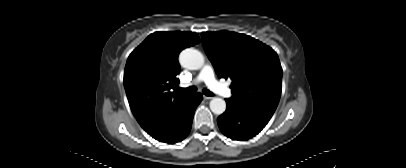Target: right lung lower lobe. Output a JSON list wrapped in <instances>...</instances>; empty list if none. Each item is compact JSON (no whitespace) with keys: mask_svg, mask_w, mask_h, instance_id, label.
I'll return each mask as SVG.
<instances>
[{"mask_svg":"<svg viewBox=\"0 0 406 168\" xmlns=\"http://www.w3.org/2000/svg\"><path fill=\"white\" fill-rule=\"evenodd\" d=\"M202 98L200 93L188 96L148 134L169 144L182 141L191 130L194 112Z\"/></svg>","mask_w":406,"mask_h":168,"instance_id":"1","label":"right lung lower lobe"}]
</instances>
